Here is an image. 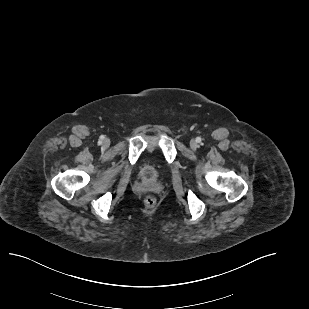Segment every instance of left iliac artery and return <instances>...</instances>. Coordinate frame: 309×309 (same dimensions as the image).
Here are the masks:
<instances>
[{"label": "left iliac artery", "instance_id": "44dca946", "mask_svg": "<svg viewBox=\"0 0 309 309\" xmlns=\"http://www.w3.org/2000/svg\"><path fill=\"white\" fill-rule=\"evenodd\" d=\"M197 141H198V142H200V141H201V138H200V137H198V138H197Z\"/></svg>", "mask_w": 309, "mask_h": 309}]
</instances>
